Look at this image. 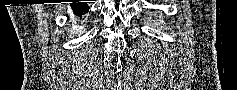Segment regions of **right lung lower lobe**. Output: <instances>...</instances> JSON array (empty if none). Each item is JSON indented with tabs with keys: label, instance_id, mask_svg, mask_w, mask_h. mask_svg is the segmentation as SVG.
<instances>
[{
	"label": "right lung lower lobe",
	"instance_id": "98d812e1",
	"mask_svg": "<svg viewBox=\"0 0 237 90\" xmlns=\"http://www.w3.org/2000/svg\"><path fill=\"white\" fill-rule=\"evenodd\" d=\"M71 7L74 13L80 17L82 16L83 13H87L89 10V6L87 5V3L82 2L72 3Z\"/></svg>",
	"mask_w": 237,
	"mask_h": 90
}]
</instances>
